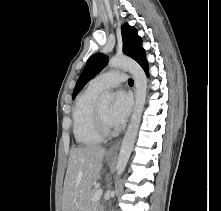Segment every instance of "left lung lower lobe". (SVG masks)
<instances>
[{
  "mask_svg": "<svg viewBox=\"0 0 221 211\" xmlns=\"http://www.w3.org/2000/svg\"><path fill=\"white\" fill-rule=\"evenodd\" d=\"M141 66L143 67V69L145 70L146 74L148 75V63H147V61L143 62L141 64Z\"/></svg>",
  "mask_w": 221,
  "mask_h": 211,
  "instance_id": "1",
  "label": "left lung lower lobe"
}]
</instances>
